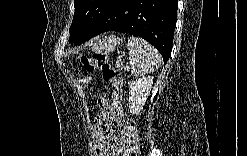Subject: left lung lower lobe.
Instances as JSON below:
<instances>
[{
    "instance_id": "1",
    "label": "left lung lower lobe",
    "mask_w": 247,
    "mask_h": 156,
    "mask_svg": "<svg viewBox=\"0 0 247 156\" xmlns=\"http://www.w3.org/2000/svg\"><path fill=\"white\" fill-rule=\"evenodd\" d=\"M177 7V0H111L86 41L107 31L133 34L154 45L166 63L172 49Z\"/></svg>"
}]
</instances>
